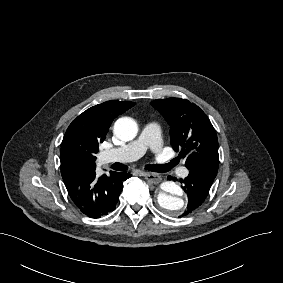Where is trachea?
I'll return each mask as SVG.
<instances>
[{"mask_svg": "<svg viewBox=\"0 0 283 283\" xmlns=\"http://www.w3.org/2000/svg\"><path fill=\"white\" fill-rule=\"evenodd\" d=\"M174 167L172 162L168 164H156V165H147L145 168L152 172H168ZM120 170H127V167L123 165Z\"/></svg>", "mask_w": 283, "mask_h": 283, "instance_id": "1", "label": "trachea"}]
</instances>
